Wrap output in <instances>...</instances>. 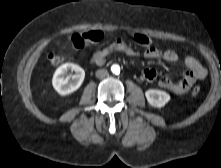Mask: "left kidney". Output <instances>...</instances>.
I'll list each match as a JSON object with an SVG mask.
<instances>
[{
    "instance_id": "left-kidney-1",
    "label": "left kidney",
    "mask_w": 221,
    "mask_h": 168,
    "mask_svg": "<svg viewBox=\"0 0 221 168\" xmlns=\"http://www.w3.org/2000/svg\"><path fill=\"white\" fill-rule=\"evenodd\" d=\"M148 103L156 108L164 107L170 100V95L162 90L149 89L145 92Z\"/></svg>"
}]
</instances>
